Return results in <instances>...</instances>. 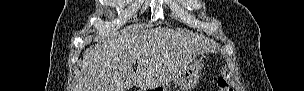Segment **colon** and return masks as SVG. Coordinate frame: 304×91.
Wrapping results in <instances>:
<instances>
[{"instance_id": "5ec220e1", "label": "colon", "mask_w": 304, "mask_h": 91, "mask_svg": "<svg viewBox=\"0 0 304 91\" xmlns=\"http://www.w3.org/2000/svg\"><path fill=\"white\" fill-rule=\"evenodd\" d=\"M217 86L219 91H232L233 89L231 86L227 83V81L223 78H219L217 80Z\"/></svg>"}]
</instances>
